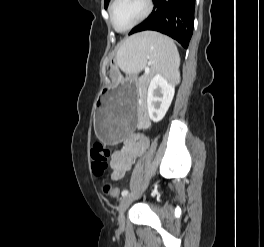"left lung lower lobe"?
Wrapping results in <instances>:
<instances>
[{
  "label": "left lung lower lobe",
  "mask_w": 264,
  "mask_h": 247,
  "mask_svg": "<svg viewBox=\"0 0 264 247\" xmlns=\"http://www.w3.org/2000/svg\"><path fill=\"white\" fill-rule=\"evenodd\" d=\"M154 10L129 35L154 30L177 40L187 48L193 33L195 0H153Z\"/></svg>",
  "instance_id": "obj_1"
}]
</instances>
